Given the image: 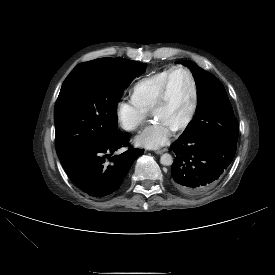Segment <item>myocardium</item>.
Listing matches in <instances>:
<instances>
[{"label": "myocardium", "mask_w": 275, "mask_h": 275, "mask_svg": "<svg viewBox=\"0 0 275 275\" xmlns=\"http://www.w3.org/2000/svg\"><path fill=\"white\" fill-rule=\"evenodd\" d=\"M178 70L184 71L189 77L191 89H192V103H191V107H190L187 117L184 119V121L182 123H180L174 129L176 132L183 131L190 125V123L192 122V120L196 114L197 107H198V88H197L196 80L194 78L193 73L187 67H185L183 65H177L170 69V71L168 72V74L162 84V87L159 91L157 99L151 109V113H153L154 111H156L157 109H159L160 107H162L164 105V103L167 100V96H168L170 78H171L172 74Z\"/></svg>", "instance_id": "myocardium-1"}]
</instances>
